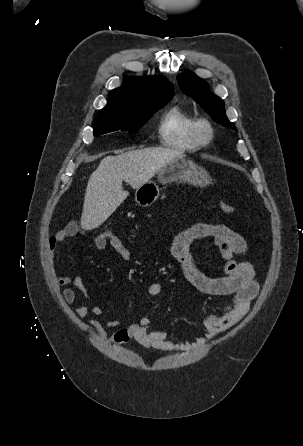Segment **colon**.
Instances as JSON below:
<instances>
[{"label": "colon", "instance_id": "obj_1", "mask_svg": "<svg viewBox=\"0 0 303 446\" xmlns=\"http://www.w3.org/2000/svg\"><path fill=\"white\" fill-rule=\"evenodd\" d=\"M219 207L223 213L229 214V215L233 214L236 210V208L233 205H231L228 202H224V201L220 202ZM102 234L105 238H110V237L114 236V234L110 230H106Z\"/></svg>", "mask_w": 303, "mask_h": 446}]
</instances>
